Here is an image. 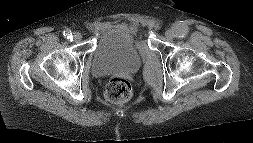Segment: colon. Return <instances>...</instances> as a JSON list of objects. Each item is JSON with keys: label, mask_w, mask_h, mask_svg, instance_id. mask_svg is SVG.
Instances as JSON below:
<instances>
[{"label": "colon", "mask_w": 253, "mask_h": 143, "mask_svg": "<svg viewBox=\"0 0 253 143\" xmlns=\"http://www.w3.org/2000/svg\"><path fill=\"white\" fill-rule=\"evenodd\" d=\"M131 95L132 86L124 78H113L105 87V98L110 103H124L130 99Z\"/></svg>", "instance_id": "1"}]
</instances>
